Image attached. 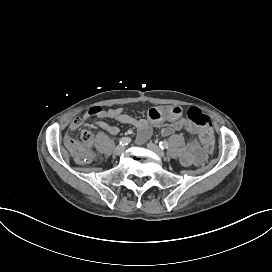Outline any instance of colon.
I'll list each match as a JSON object with an SVG mask.
<instances>
[{"instance_id":"5ec220e1","label":"colon","mask_w":272,"mask_h":272,"mask_svg":"<svg viewBox=\"0 0 272 272\" xmlns=\"http://www.w3.org/2000/svg\"><path fill=\"white\" fill-rule=\"evenodd\" d=\"M187 128L192 134H200L202 142L207 149L214 145L213 126L209 117L204 115L200 107H191L187 111ZM91 141L90 132L81 133V140H76L71 145V152L77 159H81L88 152V145Z\"/></svg>"}]
</instances>
